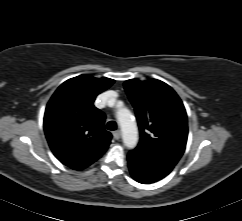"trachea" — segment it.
<instances>
[{
	"mask_svg": "<svg viewBox=\"0 0 242 221\" xmlns=\"http://www.w3.org/2000/svg\"><path fill=\"white\" fill-rule=\"evenodd\" d=\"M106 128L108 130H116L117 129V124L115 121H109L106 125Z\"/></svg>",
	"mask_w": 242,
	"mask_h": 221,
	"instance_id": "3493384b",
	"label": "trachea"
}]
</instances>
